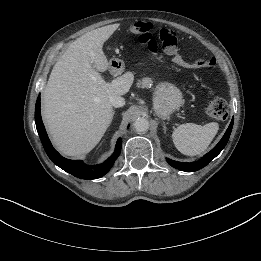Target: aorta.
<instances>
[{"label": "aorta", "mask_w": 261, "mask_h": 261, "mask_svg": "<svg viewBox=\"0 0 261 261\" xmlns=\"http://www.w3.org/2000/svg\"><path fill=\"white\" fill-rule=\"evenodd\" d=\"M133 127L137 132H146L149 129V121L144 117L137 118L133 123Z\"/></svg>", "instance_id": "obj_1"}]
</instances>
